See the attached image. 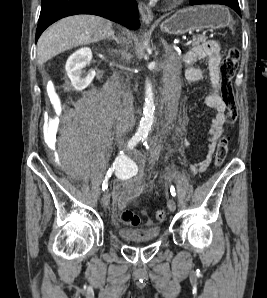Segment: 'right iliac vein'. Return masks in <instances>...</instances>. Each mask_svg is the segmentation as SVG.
<instances>
[{
    "instance_id": "obj_1",
    "label": "right iliac vein",
    "mask_w": 267,
    "mask_h": 298,
    "mask_svg": "<svg viewBox=\"0 0 267 298\" xmlns=\"http://www.w3.org/2000/svg\"><path fill=\"white\" fill-rule=\"evenodd\" d=\"M109 202H110V194L108 193V191H105L101 198V204L103 207H107Z\"/></svg>"
}]
</instances>
